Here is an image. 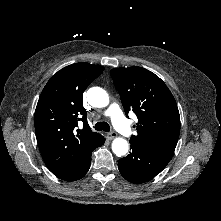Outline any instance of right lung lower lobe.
<instances>
[{
  "instance_id": "1",
  "label": "right lung lower lobe",
  "mask_w": 221,
  "mask_h": 221,
  "mask_svg": "<svg viewBox=\"0 0 221 221\" xmlns=\"http://www.w3.org/2000/svg\"><path fill=\"white\" fill-rule=\"evenodd\" d=\"M105 138L100 135L96 144L87 152L73 158L61 168L51 171L56 177L65 181H76L81 179L89 170L91 155L95 147L104 144Z\"/></svg>"
}]
</instances>
